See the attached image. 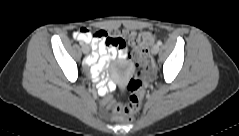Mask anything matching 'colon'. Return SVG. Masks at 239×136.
<instances>
[{
	"label": "colon",
	"mask_w": 239,
	"mask_h": 136,
	"mask_svg": "<svg viewBox=\"0 0 239 136\" xmlns=\"http://www.w3.org/2000/svg\"><path fill=\"white\" fill-rule=\"evenodd\" d=\"M90 31L86 28H80L76 35L79 39H87L90 37ZM98 36L106 37V44L111 47H121L125 44L122 37L114 33L99 31ZM153 41V35L148 32H143L130 40L133 47L131 58L135 61L138 72L131 77L126 85V90L129 93V100L124 105H116L113 108V119L118 122H128L131 116L136 113L143 100V81L141 73L151 66V60L148 53V47Z\"/></svg>",
	"instance_id": "obj_1"
}]
</instances>
